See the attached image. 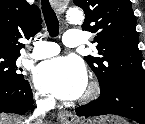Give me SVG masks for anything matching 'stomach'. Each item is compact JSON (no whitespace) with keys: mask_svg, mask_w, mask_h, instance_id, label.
Masks as SVG:
<instances>
[{"mask_svg":"<svg viewBox=\"0 0 145 124\" xmlns=\"http://www.w3.org/2000/svg\"><path fill=\"white\" fill-rule=\"evenodd\" d=\"M73 124H124V120L113 116H106L92 120H83Z\"/></svg>","mask_w":145,"mask_h":124,"instance_id":"0dacf381","label":"stomach"}]
</instances>
